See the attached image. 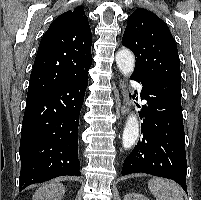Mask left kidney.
<instances>
[{
	"instance_id": "1",
	"label": "left kidney",
	"mask_w": 201,
	"mask_h": 200,
	"mask_svg": "<svg viewBox=\"0 0 201 200\" xmlns=\"http://www.w3.org/2000/svg\"><path fill=\"white\" fill-rule=\"evenodd\" d=\"M124 200H149V199L139 193H128L125 195Z\"/></svg>"
}]
</instances>
